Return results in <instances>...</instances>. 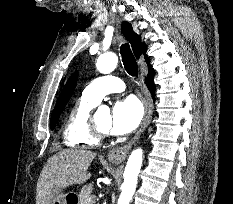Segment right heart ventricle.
<instances>
[{
	"instance_id": "right-heart-ventricle-1",
	"label": "right heart ventricle",
	"mask_w": 233,
	"mask_h": 204,
	"mask_svg": "<svg viewBox=\"0 0 233 204\" xmlns=\"http://www.w3.org/2000/svg\"><path fill=\"white\" fill-rule=\"evenodd\" d=\"M97 104L83 95L71 108L64 126V141L73 148H90L98 145L100 139L91 129V111Z\"/></svg>"
}]
</instances>
